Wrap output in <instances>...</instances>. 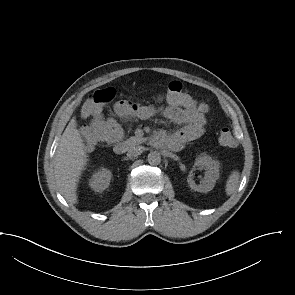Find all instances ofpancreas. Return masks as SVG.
<instances>
[{
    "label": "pancreas",
    "instance_id": "1",
    "mask_svg": "<svg viewBox=\"0 0 295 295\" xmlns=\"http://www.w3.org/2000/svg\"><path fill=\"white\" fill-rule=\"evenodd\" d=\"M146 139L140 136H132L129 139H127L125 141V143L129 146V147H134L136 145H139L141 143H143Z\"/></svg>",
    "mask_w": 295,
    "mask_h": 295
}]
</instances>
